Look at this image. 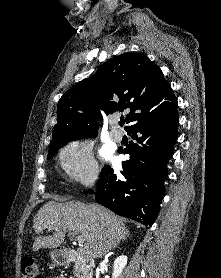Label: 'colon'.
Returning <instances> with one entry per match:
<instances>
[{"label":"colon","mask_w":221,"mask_h":278,"mask_svg":"<svg viewBox=\"0 0 221 278\" xmlns=\"http://www.w3.org/2000/svg\"><path fill=\"white\" fill-rule=\"evenodd\" d=\"M20 278H42L33 258H23L20 265ZM53 278H61L59 276Z\"/></svg>","instance_id":"obj_1"}]
</instances>
